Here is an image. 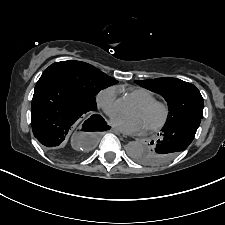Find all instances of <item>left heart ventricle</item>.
<instances>
[{"mask_svg":"<svg viewBox=\"0 0 225 225\" xmlns=\"http://www.w3.org/2000/svg\"><path fill=\"white\" fill-rule=\"evenodd\" d=\"M133 114L135 116H141L145 120L147 126L149 127L151 125L156 124L161 119L162 110L158 107L145 110L139 105H137Z\"/></svg>","mask_w":225,"mask_h":225,"instance_id":"left-heart-ventricle-1","label":"left heart ventricle"}]
</instances>
